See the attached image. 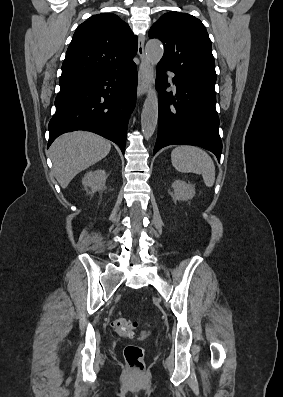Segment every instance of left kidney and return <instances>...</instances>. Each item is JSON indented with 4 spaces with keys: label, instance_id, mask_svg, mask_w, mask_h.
Listing matches in <instances>:
<instances>
[{
    "label": "left kidney",
    "instance_id": "1",
    "mask_svg": "<svg viewBox=\"0 0 283 397\" xmlns=\"http://www.w3.org/2000/svg\"><path fill=\"white\" fill-rule=\"evenodd\" d=\"M173 193L172 198L173 201H186L192 199L195 196V187L186 183L182 180H175L172 184Z\"/></svg>",
    "mask_w": 283,
    "mask_h": 397
}]
</instances>
